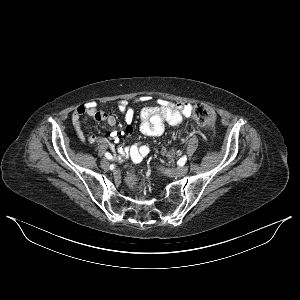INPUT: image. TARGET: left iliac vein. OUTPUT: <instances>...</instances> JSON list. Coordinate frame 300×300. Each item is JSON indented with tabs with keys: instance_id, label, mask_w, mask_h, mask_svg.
<instances>
[{
	"instance_id": "1",
	"label": "left iliac vein",
	"mask_w": 300,
	"mask_h": 300,
	"mask_svg": "<svg viewBox=\"0 0 300 300\" xmlns=\"http://www.w3.org/2000/svg\"><path fill=\"white\" fill-rule=\"evenodd\" d=\"M165 172L172 177H182L187 174L188 172V167L187 166H182L176 169H167Z\"/></svg>"
}]
</instances>
